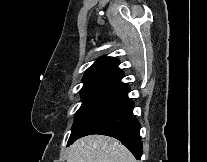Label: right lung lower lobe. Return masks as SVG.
<instances>
[{
    "instance_id": "right-lung-lower-lobe-1",
    "label": "right lung lower lobe",
    "mask_w": 207,
    "mask_h": 162,
    "mask_svg": "<svg viewBox=\"0 0 207 162\" xmlns=\"http://www.w3.org/2000/svg\"><path fill=\"white\" fill-rule=\"evenodd\" d=\"M128 92L127 84L116 88L83 121L69 138L68 146L80 137L102 134L120 140L140 160L143 152L139 134L141 126L133 115L134 105Z\"/></svg>"
}]
</instances>
